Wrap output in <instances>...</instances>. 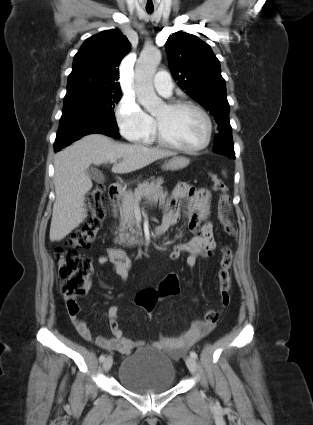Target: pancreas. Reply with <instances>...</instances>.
<instances>
[{
    "label": "pancreas",
    "mask_w": 313,
    "mask_h": 425,
    "mask_svg": "<svg viewBox=\"0 0 313 425\" xmlns=\"http://www.w3.org/2000/svg\"><path fill=\"white\" fill-rule=\"evenodd\" d=\"M151 182L144 181L138 184L134 192H124L122 195V202L120 204L121 220L119 225V234L116 238V242L124 247H131L135 244H139L138 236L141 234L138 228L137 221L134 215L135 206L139 205L142 198H146L150 204L159 203L160 206H164L167 191L163 190L161 186L162 180H154L151 178Z\"/></svg>",
    "instance_id": "cf45deb5"
}]
</instances>
